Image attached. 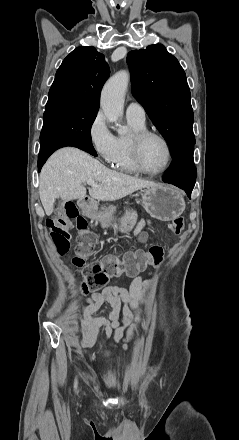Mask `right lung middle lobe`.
Here are the masks:
<instances>
[{
  "instance_id": "1",
  "label": "right lung middle lobe",
  "mask_w": 239,
  "mask_h": 440,
  "mask_svg": "<svg viewBox=\"0 0 239 440\" xmlns=\"http://www.w3.org/2000/svg\"><path fill=\"white\" fill-rule=\"evenodd\" d=\"M96 115L97 111L64 103L46 105L40 134L41 148L54 140L70 136L83 137L91 141V125Z\"/></svg>"
}]
</instances>
